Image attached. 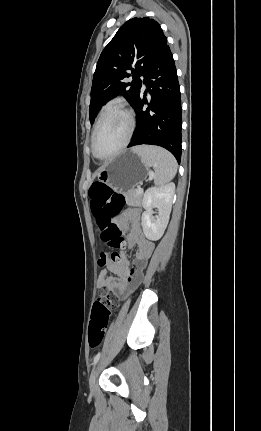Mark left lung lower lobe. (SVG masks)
Wrapping results in <instances>:
<instances>
[{"mask_svg": "<svg viewBox=\"0 0 261 431\" xmlns=\"http://www.w3.org/2000/svg\"><path fill=\"white\" fill-rule=\"evenodd\" d=\"M151 96L140 93L135 105L136 129L128 147L141 144L161 146L170 151L178 163L181 159L182 108L180 88L172 53L168 45L154 59L144 76ZM148 104L147 108H143Z\"/></svg>", "mask_w": 261, "mask_h": 431, "instance_id": "0a47b994", "label": "left lung lower lobe"}]
</instances>
